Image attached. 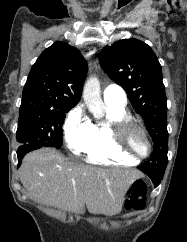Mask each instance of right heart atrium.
<instances>
[{"label":"right heart atrium","mask_w":187,"mask_h":242,"mask_svg":"<svg viewBox=\"0 0 187 242\" xmlns=\"http://www.w3.org/2000/svg\"><path fill=\"white\" fill-rule=\"evenodd\" d=\"M64 138L75 155L84 153L94 139V124L81 107L74 108L64 124Z\"/></svg>","instance_id":"d8ad5b80"}]
</instances>
